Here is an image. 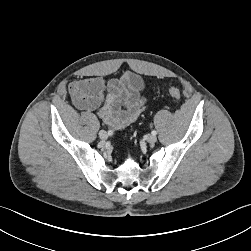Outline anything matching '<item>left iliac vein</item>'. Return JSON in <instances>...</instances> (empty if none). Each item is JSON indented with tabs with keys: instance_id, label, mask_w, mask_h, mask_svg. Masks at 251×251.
Wrapping results in <instances>:
<instances>
[{
	"instance_id": "1",
	"label": "left iliac vein",
	"mask_w": 251,
	"mask_h": 251,
	"mask_svg": "<svg viewBox=\"0 0 251 251\" xmlns=\"http://www.w3.org/2000/svg\"><path fill=\"white\" fill-rule=\"evenodd\" d=\"M147 142L150 144H154L157 141V137L153 134H149L146 138Z\"/></svg>"
}]
</instances>
